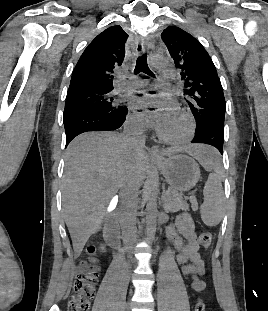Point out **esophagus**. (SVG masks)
<instances>
[{
    "label": "esophagus",
    "mask_w": 268,
    "mask_h": 311,
    "mask_svg": "<svg viewBox=\"0 0 268 311\" xmlns=\"http://www.w3.org/2000/svg\"><path fill=\"white\" fill-rule=\"evenodd\" d=\"M147 43L145 39L141 38L138 43L136 44V51L138 53H143L146 51ZM151 153L155 156H158L160 154V150L156 145H153L150 149Z\"/></svg>",
    "instance_id": "1"
}]
</instances>
